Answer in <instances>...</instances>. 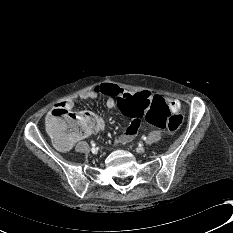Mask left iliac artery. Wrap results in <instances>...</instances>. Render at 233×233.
Instances as JSON below:
<instances>
[{
	"label": "left iliac artery",
	"instance_id": "left-iliac-artery-1",
	"mask_svg": "<svg viewBox=\"0 0 233 233\" xmlns=\"http://www.w3.org/2000/svg\"><path fill=\"white\" fill-rule=\"evenodd\" d=\"M142 139H143V140H146V139H147V137H146V136H142Z\"/></svg>",
	"mask_w": 233,
	"mask_h": 233
}]
</instances>
